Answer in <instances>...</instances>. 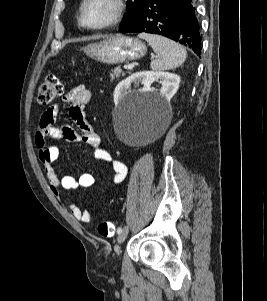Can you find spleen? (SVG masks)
<instances>
[{
  "label": "spleen",
  "mask_w": 267,
  "mask_h": 301,
  "mask_svg": "<svg viewBox=\"0 0 267 301\" xmlns=\"http://www.w3.org/2000/svg\"><path fill=\"white\" fill-rule=\"evenodd\" d=\"M139 38L146 40L158 59L151 62V69L154 71H164L175 69L182 65L187 57L186 50L178 43L159 35L141 33Z\"/></svg>",
  "instance_id": "3e777b00"
}]
</instances>
